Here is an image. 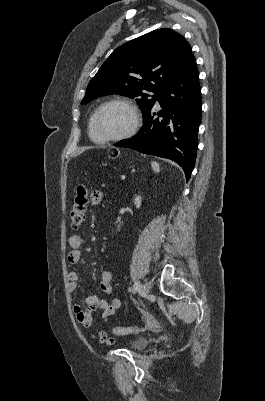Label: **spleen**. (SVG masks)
<instances>
[{
    "mask_svg": "<svg viewBox=\"0 0 265 401\" xmlns=\"http://www.w3.org/2000/svg\"><path fill=\"white\" fill-rule=\"evenodd\" d=\"M151 166H152L154 172H160V164H158V162H155V160H152Z\"/></svg>",
    "mask_w": 265,
    "mask_h": 401,
    "instance_id": "spleen-1",
    "label": "spleen"
}]
</instances>
